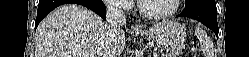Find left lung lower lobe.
Here are the masks:
<instances>
[{"mask_svg":"<svg viewBox=\"0 0 249 57\" xmlns=\"http://www.w3.org/2000/svg\"><path fill=\"white\" fill-rule=\"evenodd\" d=\"M177 17H188L200 21L218 36L217 8L215 0H193L185 3V9Z\"/></svg>","mask_w":249,"mask_h":57,"instance_id":"0a47b994","label":"left lung lower lobe"}]
</instances>
